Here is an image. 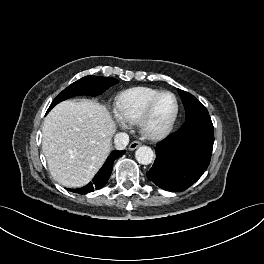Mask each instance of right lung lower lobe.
Masks as SVG:
<instances>
[{
  "label": "right lung lower lobe",
  "instance_id": "right-lung-lower-lobe-1",
  "mask_svg": "<svg viewBox=\"0 0 264 264\" xmlns=\"http://www.w3.org/2000/svg\"><path fill=\"white\" fill-rule=\"evenodd\" d=\"M125 154V151H113L107 160L105 161L102 168L98 171V173L94 176L93 180L86 186L77 189H68L71 192L78 194H86L89 192H93L94 190L102 188L108 181L110 174L112 172L113 163L115 159L119 158Z\"/></svg>",
  "mask_w": 264,
  "mask_h": 264
}]
</instances>
